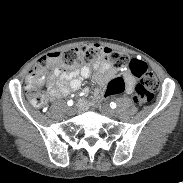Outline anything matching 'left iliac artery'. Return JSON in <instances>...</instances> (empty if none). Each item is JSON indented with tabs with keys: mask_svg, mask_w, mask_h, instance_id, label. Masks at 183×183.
Listing matches in <instances>:
<instances>
[{
	"mask_svg": "<svg viewBox=\"0 0 183 183\" xmlns=\"http://www.w3.org/2000/svg\"><path fill=\"white\" fill-rule=\"evenodd\" d=\"M110 107H111L112 109H115V108H116V103L112 102V103L110 104Z\"/></svg>",
	"mask_w": 183,
	"mask_h": 183,
	"instance_id": "1",
	"label": "left iliac artery"
}]
</instances>
